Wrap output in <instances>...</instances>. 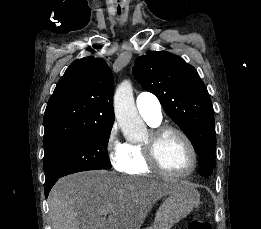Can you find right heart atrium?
I'll list each match as a JSON object with an SVG mask.
<instances>
[{
  "label": "right heart atrium",
  "mask_w": 261,
  "mask_h": 229,
  "mask_svg": "<svg viewBox=\"0 0 261 229\" xmlns=\"http://www.w3.org/2000/svg\"><path fill=\"white\" fill-rule=\"evenodd\" d=\"M118 125L114 123L108 133L106 151L112 167L119 172H126L130 164L127 143L118 137Z\"/></svg>",
  "instance_id": "d8ad5b80"
}]
</instances>
